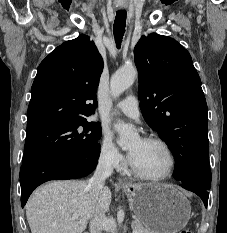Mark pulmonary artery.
<instances>
[{"instance_id":"1","label":"pulmonary artery","mask_w":227,"mask_h":233,"mask_svg":"<svg viewBox=\"0 0 227 233\" xmlns=\"http://www.w3.org/2000/svg\"><path fill=\"white\" fill-rule=\"evenodd\" d=\"M117 108L131 119L139 120L140 118L138 100L134 95H128L124 100L117 104Z\"/></svg>"}]
</instances>
